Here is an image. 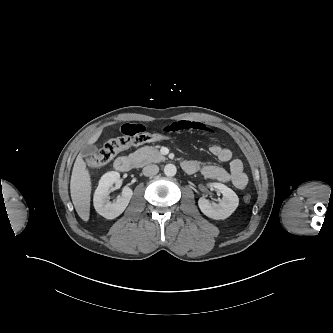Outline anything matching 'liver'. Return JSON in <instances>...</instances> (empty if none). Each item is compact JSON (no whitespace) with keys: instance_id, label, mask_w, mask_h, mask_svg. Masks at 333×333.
I'll return each instance as SVG.
<instances>
[{"instance_id":"1","label":"liver","mask_w":333,"mask_h":333,"mask_svg":"<svg viewBox=\"0 0 333 333\" xmlns=\"http://www.w3.org/2000/svg\"><path fill=\"white\" fill-rule=\"evenodd\" d=\"M102 133L100 129L88 141L89 144L95 143ZM91 178L86 164L80 153L74 163L71 180L70 193L73 205L79 217L83 221H88L90 217V200H91Z\"/></svg>"}]
</instances>
